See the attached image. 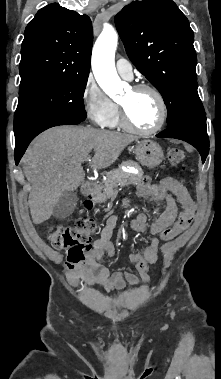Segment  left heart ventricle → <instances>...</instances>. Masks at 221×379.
Instances as JSON below:
<instances>
[{
    "label": "left heart ventricle",
    "mask_w": 221,
    "mask_h": 379,
    "mask_svg": "<svg viewBox=\"0 0 221 379\" xmlns=\"http://www.w3.org/2000/svg\"><path fill=\"white\" fill-rule=\"evenodd\" d=\"M130 121L137 127L148 129L158 120L159 108L154 95L148 91L133 92L129 90L121 99Z\"/></svg>",
    "instance_id": "left-heart-ventricle-1"
}]
</instances>
